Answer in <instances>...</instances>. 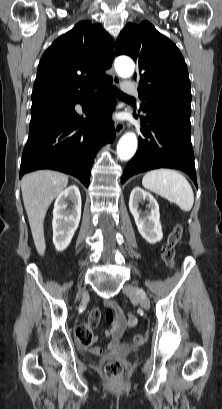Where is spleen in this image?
I'll list each match as a JSON object with an SVG mask.
<instances>
[{
  "instance_id": "spleen-1",
  "label": "spleen",
  "mask_w": 222,
  "mask_h": 409,
  "mask_svg": "<svg viewBox=\"0 0 222 409\" xmlns=\"http://www.w3.org/2000/svg\"><path fill=\"white\" fill-rule=\"evenodd\" d=\"M144 188L164 197L189 212L194 203V194L187 179L171 169H157L147 172L143 179Z\"/></svg>"
}]
</instances>
